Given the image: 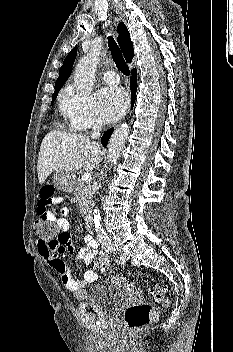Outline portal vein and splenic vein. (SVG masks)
Here are the masks:
<instances>
[{
    "mask_svg": "<svg viewBox=\"0 0 233 352\" xmlns=\"http://www.w3.org/2000/svg\"><path fill=\"white\" fill-rule=\"evenodd\" d=\"M82 182L88 183L92 180V175L91 173H84L81 177Z\"/></svg>",
    "mask_w": 233,
    "mask_h": 352,
    "instance_id": "18ae733b",
    "label": "portal vein and splenic vein"
}]
</instances>
